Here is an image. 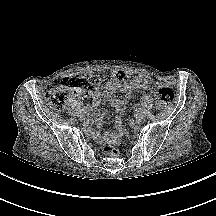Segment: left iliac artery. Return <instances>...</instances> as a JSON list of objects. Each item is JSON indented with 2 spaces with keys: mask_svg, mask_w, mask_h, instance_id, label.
Listing matches in <instances>:
<instances>
[{
  "mask_svg": "<svg viewBox=\"0 0 216 216\" xmlns=\"http://www.w3.org/2000/svg\"><path fill=\"white\" fill-rule=\"evenodd\" d=\"M140 108L137 106L136 107V112H135V117L138 118L140 117V112H139Z\"/></svg>",
  "mask_w": 216,
  "mask_h": 216,
  "instance_id": "obj_1",
  "label": "left iliac artery"
}]
</instances>
